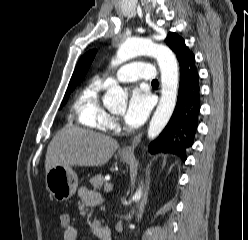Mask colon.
Instances as JSON below:
<instances>
[{"label": "colon", "mask_w": 248, "mask_h": 240, "mask_svg": "<svg viewBox=\"0 0 248 240\" xmlns=\"http://www.w3.org/2000/svg\"><path fill=\"white\" fill-rule=\"evenodd\" d=\"M59 225L62 230L67 229L72 225L71 215L67 212H63L59 216Z\"/></svg>", "instance_id": "5ec220e1"}]
</instances>
